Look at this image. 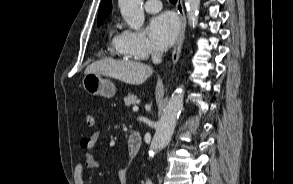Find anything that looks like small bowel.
Masks as SVG:
<instances>
[{
  "label": "small bowel",
  "mask_w": 293,
  "mask_h": 184,
  "mask_svg": "<svg viewBox=\"0 0 293 184\" xmlns=\"http://www.w3.org/2000/svg\"><path fill=\"white\" fill-rule=\"evenodd\" d=\"M99 139V132L95 131L91 135L84 137L80 142V147L84 152L83 160L79 161L74 166L73 178L75 184H85L84 172L86 170H94L99 167L98 161L93 155V150ZM129 158V163L131 162ZM127 170L128 167H124L118 173L119 181L121 184L127 183Z\"/></svg>",
  "instance_id": "1"
}]
</instances>
